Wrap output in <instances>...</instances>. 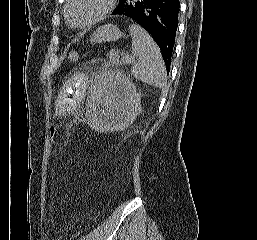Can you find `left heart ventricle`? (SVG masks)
Returning <instances> with one entry per match:
<instances>
[{
    "instance_id": "b2bd125f",
    "label": "left heart ventricle",
    "mask_w": 257,
    "mask_h": 240,
    "mask_svg": "<svg viewBox=\"0 0 257 240\" xmlns=\"http://www.w3.org/2000/svg\"><path fill=\"white\" fill-rule=\"evenodd\" d=\"M106 0H73L69 16L73 23L82 24L94 17L105 5Z\"/></svg>"
}]
</instances>
